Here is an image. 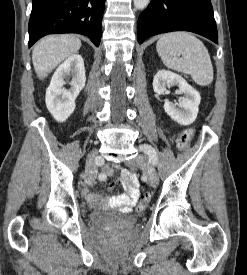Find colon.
<instances>
[{
  "mask_svg": "<svg viewBox=\"0 0 247 275\" xmlns=\"http://www.w3.org/2000/svg\"><path fill=\"white\" fill-rule=\"evenodd\" d=\"M195 135V131L193 129H188L184 131L180 137L178 138V147L182 150L187 149L191 143V140L193 139ZM150 199V195L148 191L143 190L140 195V203L138 205V210H143L147 206Z\"/></svg>",
  "mask_w": 247,
  "mask_h": 275,
  "instance_id": "1",
  "label": "colon"
}]
</instances>
